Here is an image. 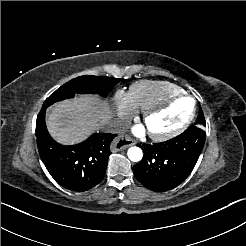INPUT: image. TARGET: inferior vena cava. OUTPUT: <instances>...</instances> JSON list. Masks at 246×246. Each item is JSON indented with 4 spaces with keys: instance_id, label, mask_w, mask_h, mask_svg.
<instances>
[{
    "instance_id": "1",
    "label": "inferior vena cava",
    "mask_w": 246,
    "mask_h": 246,
    "mask_svg": "<svg viewBox=\"0 0 246 246\" xmlns=\"http://www.w3.org/2000/svg\"><path fill=\"white\" fill-rule=\"evenodd\" d=\"M107 128H108V132L110 133H118L120 131L119 124L116 121L109 123Z\"/></svg>"
}]
</instances>
